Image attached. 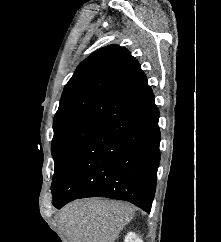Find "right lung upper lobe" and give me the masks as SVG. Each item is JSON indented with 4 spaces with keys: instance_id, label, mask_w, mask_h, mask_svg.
Listing matches in <instances>:
<instances>
[{
    "instance_id": "obj_1",
    "label": "right lung upper lobe",
    "mask_w": 221,
    "mask_h": 242,
    "mask_svg": "<svg viewBox=\"0 0 221 242\" xmlns=\"http://www.w3.org/2000/svg\"><path fill=\"white\" fill-rule=\"evenodd\" d=\"M139 62L117 45L103 47L79 64L66 84L53 128L103 122L150 90Z\"/></svg>"
}]
</instances>
